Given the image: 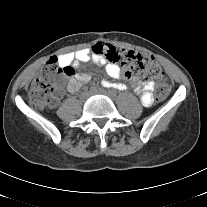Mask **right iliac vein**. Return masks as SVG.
<instances>
[{
	"label": "right iliac vein",
	"mask_w": 207,
	"mask_h": 207,
	"mask_svg": "<svg viewBox=\"0 0 207 207\" xmlns=\"http://www.w3.org/2000/svg\"><path fill=\"white\" fill-rule=\"evenodd\" d=\"M92 90H96V89L92 88ZM86 96H87V94H82L81 95V100L84 101L86 99Z\"/></svg>",
	"instance_id": "right-iliac-vein-1"
}]
</instances>
